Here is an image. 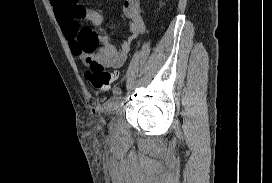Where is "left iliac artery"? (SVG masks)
I'll return each instance as SVG.
<instances>
[{
  "label": "left iliac artery",
  "mask_w": 272,
  "mask_h": 183,
  "mask_svg": "<svg viewBox=\"0 0 272 183\" xmlns=\"http://www.w3.org/2000/svg\"><path fill=\"white\" fill-rule=\"evenodd\" d=\"M121 93H122V91H121L120 88H117V89L114 90V96L115 97L121 95Z\"/></svg>",
  "instance_id": "1"
}]
</instances>
